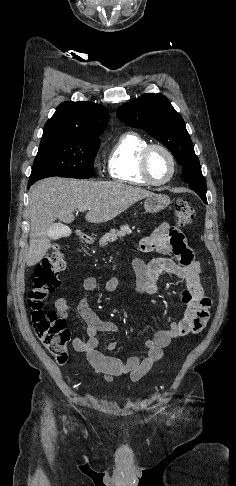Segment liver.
Listing matches in <instances>:
<instances>
[{
    "label": "liver",
    "instance_id": "obj_1",
    "mask_svg": "<svg viewBox=\"0 0 236 486\" xmlns=\"http://www.w3.org/2000/svg\"><path fill=\"white\" fill-rule=\"evenodd\" d=\"M153 195L145 189L110 181L47 178L31 187L29 196L30 247L27 266L40 262L51 246L54 221H74V211L88 209L91 223L110 221L134 203Z\"/></svg>",
    "mask_w": 236,
    "mask_h": 486
}]
</instances>
